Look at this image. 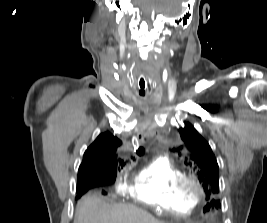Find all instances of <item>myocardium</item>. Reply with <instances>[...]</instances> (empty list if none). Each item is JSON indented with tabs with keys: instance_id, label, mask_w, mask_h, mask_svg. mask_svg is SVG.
<instances>
[{
	"instance_id": "1",
	"label": "myocardium",
	"mask_w": 267,
	"mask_h": 223,
	"mask_svg": "<svg viewBox=\"0 0 267 223\" xmlns=\"http://www.w3.org/2000/svg\"><path fill=\"white\" fill-rule=\"evenodd\" d=\"M177 189L184 197L200 201L205 196V189L200 180L195 176L185 175L177 182Z\"/></svg>"
}]
</instances>
